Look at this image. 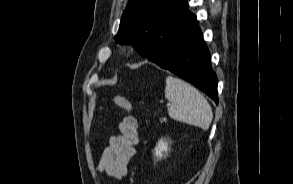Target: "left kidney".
Returning <instances> with one entry per match:
<instances>
[{"mask_svg":"<svg viewBox=\"0 0 293 184\" xmlns=\"http://www.w3.org/2000/svg\"><path fill=\"white\" fill-rule=\"evenodd\" d=\"M169 151V144L166 140H160L155 147L154 155L161 159L163 156L167 155Z\"/></svg>","mask_w":293,"mask_h":184,"instance_id":"1","label":"left kidney"}]
</instances>
